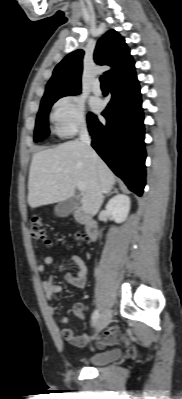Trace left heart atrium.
Returning a JSON list of instances; mask_svg holds the SVG:
<instances>
[{
  "label": "left heart atrium",
  "mask_w": 182,
  "mask_h": 399,
  "mask_svg": "<svg viewBox=\"0 0 182 399\" xmlns=\"http://www.w3.org/2000/svg\"><path fill=\"white\" fill-rule=\"evenodd\" d=\"M93 107H94V109L98 110L99 107H100V105H99L98 102H95V103L93 104Z\"/></svg>",
  "instance_id": "1"
}]
</instances>
